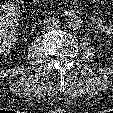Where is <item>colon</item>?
Returning <instances> with one entry per match:
<instances>
[{"mask_svg":"<svg viewBox=\"0 0 113 113\" xmlns=\"http://www.w3.org/2000/svg\"><path fill=\"white\" fill-rule=\"evenodd\" d=\"M31 0H0V56L6 54L13 42V21L16 20L22 4Z\"/></svg>","mask_w":113,"mask_h":113,"instance_id":"obj_1","label":"colon"}]
</instances>
